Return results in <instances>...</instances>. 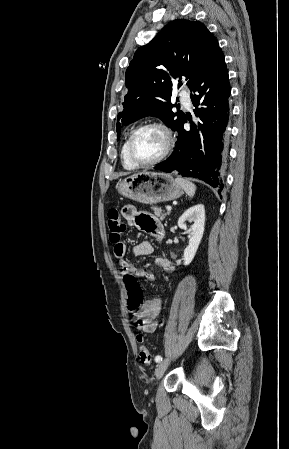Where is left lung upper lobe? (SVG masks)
I'll use <instances>...</instances> for the list:
<instances>
[{
    "label": "left lung upper lobe",
    "mask_w": 289,
    "mask_h": 449,
    "mask_svg": "<svg viewBox=\"0 0 289 449\" xmlns=\"http://www.w3.org/2000/svg\"><path fill=\"white\" fill-rule=\"evenodd\" d=\"M214 35L199 21L174 20L148 44L134 54L126 70L128 93L118 114L117 138L121 124L145 116L160 118L173 131L184 117L174 113L171 104L173 83L181 86L184 78L190 88L203 64L218 48Z\"/></svg>",
    "instance_id": "obj_1"
}]
</instances>
